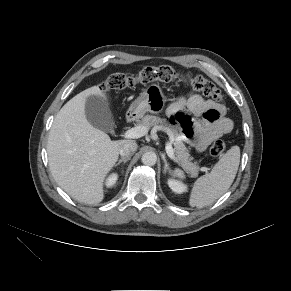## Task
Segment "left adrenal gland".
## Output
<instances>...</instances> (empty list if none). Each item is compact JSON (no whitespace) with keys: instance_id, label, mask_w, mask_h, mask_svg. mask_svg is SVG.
Instances as JSON below:
<instances>
[{"instance_id":"a2214340","label":"left adrenal gland","mask_w":291,"mask_h":291,"mask_svg":"<svg viewBox=\"0 0 291 291\" xmlns=\"http://www.w3.org/2000/svg\"><path fill=\"white\" fill-rule=\"evenodd\" d=\"M161 156H162V160L164 162V170H163V173L166 174L167 171L169 173H171V169H170L169 164H168V162L166 160L165 154H162Z\"/></svg>"}]
</instances>
